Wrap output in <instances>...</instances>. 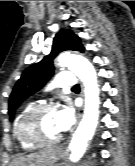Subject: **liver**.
<instances>
[{"instance_id": "liver-1", "label": "liver", "mask_w": 135, "mask_h": 166, "mask_svg": "<svg viewBox=\"0 0 135 166\" xmlns=\"http://www.w3.org/2000/svg\"><path fill=\"white\" fill-rule=\"evenodd\" d=\"M49 150H43L37 153H31L24 157H19L13 161L12 166H31L33 160L47 157Z\"/></svg>"}]
</instances>
